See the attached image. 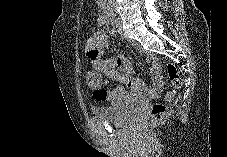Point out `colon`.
<instances>
[{
    "mask_svg": "<svg viewBox=\"0 0 227 157\" xmlns=\"http://www.w3.org/2000/svg\"><path fill=\"white\" fill-rule=\"evenodd\" d=\"M169 78L174 86V89L165 93V101L171 103L175 101L176 90L182 87V78L177 67L171 63L167 65ZM87 84L94 91H100L103 87V79L101 74L97 72H89L86 77ZM171 112V107L163 104L156 103L152 107L151 123L157 124L163 121Z\"/></svg>",
    "mask_w": 227,
    "mask_h": 157,
    "instance_id": "5ec220e1",
    "label": "colon"
}]
</instances>
